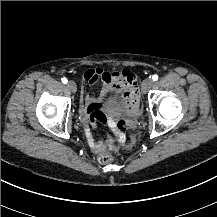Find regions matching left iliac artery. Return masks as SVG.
<instances>
[{
  "mask_svg": "<svg viewBox=\"0 0 217 217\" xmlns=\"http://www.w3.org/2000/svg\"><path fill=\"white\" fill-rule=\"evenodd\" d=\"M157 79H158V75L155 74V75L152 76L153 81H156Z\"/></svg>",
  "mask_w": 217,
  "mask_h": 217,
  "instance_id": "obj_1",
  "label": "left iliac artery"
}]
</instances>
